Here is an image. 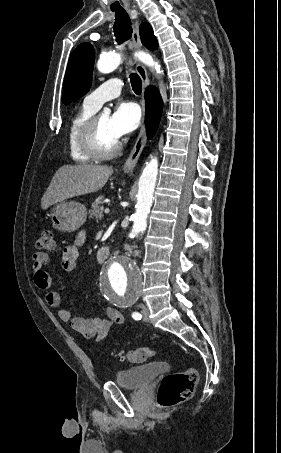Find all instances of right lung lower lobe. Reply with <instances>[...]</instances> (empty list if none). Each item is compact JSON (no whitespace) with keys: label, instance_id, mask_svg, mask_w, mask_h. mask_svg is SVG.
<instances>
[{"label":"right lung lower lobe","instance_id":"right-lung-lower-lobe-1","mask_svg":"<svg viewBox=\"0 0 281 453\" xmlns=\"http://www.w3.org/2000/svg\"><path fill=\"white\" fill-rule=\"evenodd\" d=\"M147 134L151 138L159 125L163 102L155 87H148L145 92Z\"/></svg>","mask_w":281,"mask_h":453}]
</instances>
